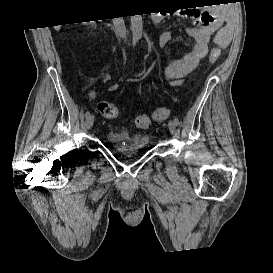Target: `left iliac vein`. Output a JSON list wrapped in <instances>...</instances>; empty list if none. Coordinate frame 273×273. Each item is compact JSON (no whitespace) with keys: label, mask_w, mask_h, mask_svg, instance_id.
I'll return each mask as SVG.
<instances>
[{"label":"left iliac vein","mask_w":273,"mask_h":273,"mask_svg":"<svg viewBox=\"0 0 273 273\" xmlns=\"http://www.w3.org/2000/svg\"><path fill=\"white\" fill-rule=\"evenodd\" d=\"M168 127H169V130L172 134L175 133V130H176V125H175V122L173 120H170L169 123H168Z\"/></svg>","instance_id":"obj_1"}]
</instances>
